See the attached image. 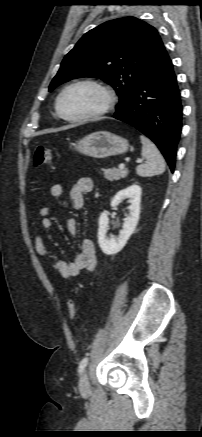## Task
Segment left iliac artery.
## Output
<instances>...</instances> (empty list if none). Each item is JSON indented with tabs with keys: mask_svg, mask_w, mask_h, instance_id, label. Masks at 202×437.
I'll return each mask as SVG.
<instances>
[{
	"mask_svg": "<svg viewBox=\"0 0 202 437\" xmlns=\"http://www.w3.org/2000/svg\"><path fill=\"white\" fill-rule=\"evenodd\" d=\"M87 363H88V357H85L81 360V362L79 363V367H78L79 373H81L85 369Z\"/></svg>",
	"mask_w": 202,
	"mask_h": 437,
	"instance_id": "44dca946",
	"label": "left iliac artery"
}]
</instances>
